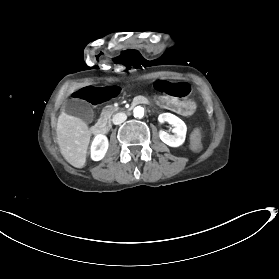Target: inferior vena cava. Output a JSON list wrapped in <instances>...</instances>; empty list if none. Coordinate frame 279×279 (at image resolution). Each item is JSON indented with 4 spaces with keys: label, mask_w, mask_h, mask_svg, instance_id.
Returning <instances> with one entry per match:
<instances>
[{
    "label": "inferior vena cava",
    "mask_w": 279,
    "mask_h": 279,
    "mask_svg": "<svg viewBox=\"0 0 279 279\" xmlns=\"http://www.w3.org/2000/svg\"><path fill=\"white\" fill-rule=\"evenodd\" d=\"M127 116L123 113H118L115 115V117L113 118V123L115 125L117 124H121L122 122H124L126 120Z\"/></svg>",
    "instance_id": "602c4592"
}]
</instances>
